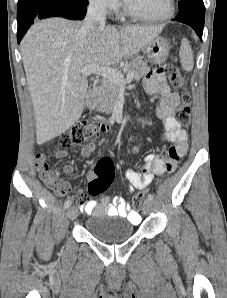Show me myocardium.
<instances>
[{"instance_id":"obj_1","label":"myocardium","mask_w":227,"mask_h":298,"mask_svg":"<svg viewBox=\"0 0 227 298\" xmlns=\"http://www.w3.org/2000/svg\"><path fill=\"white\" fill-rule=\"evenodd\" d=\"M175 10H176L175 0H168V9L164 14L160 16H143L133 12L126 5L125 1L123 3V13L129 18L134 19L136 21H141V22H152V23L164 22L174 16Z\"/></svg>"}]
</instances>
